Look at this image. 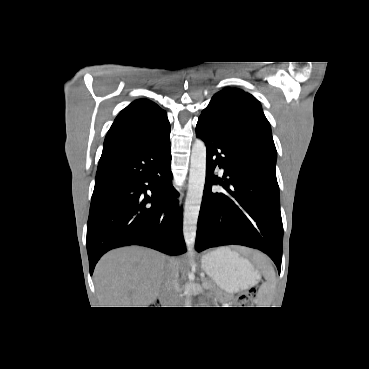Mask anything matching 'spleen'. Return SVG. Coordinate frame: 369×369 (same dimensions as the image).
<instances>
[{
  "instance_id": "1",
  "label": "spleen",
  "mask_w": 369,
  "mask_h": 369,
  "mask_svg": "<svg viewBox=\"0 0 369 369\" xmlns=\"http://www.w3.org/2000/svg\"><path fill=\"white\" fill-rule=\"evenodd\" d=\"M255 259L259 262L261 268L263 269V273L265 279L267 280L266 283L262 284L258 291V304L263 305L261 307H269L271 303V295L274 288L275 283V272L274 269L264 263L260 258L255 257Z\"/></svg>"
}]
</instances>
